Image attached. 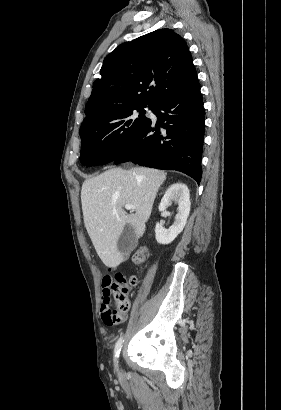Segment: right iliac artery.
I'll use <instances>...</instances> for the list:
<instances>
[{"mask_svg": "<svg viewBox=\"0 0 281 410\" xmlns=\"http://www.w3.org/2000/svg\"><path fill=\"white\" fill-rule=\"evenodd\" d=\"M123 341H124L123 337H120L119 340L116 342V345H115L114 361H115L116 365H117V359L119 357V354H120V351H121V348H122Z\"/></svg>", "mask_w": 281, "mask_h": 410, "instance_id": "1", "label": "right iliac artery"}]
</instances>
